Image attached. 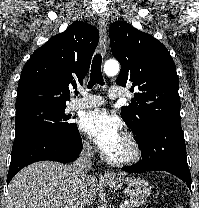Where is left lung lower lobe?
<instances>
[{
    "mask_svg": "<svg viewBox=\"0 0 199 208\" xmlns=\"http://www.w3.org/2000/svg\"><path fill=\"white\" fill-rule=\"evenodd\" d=\"M142 152L139 163L126 166V172L167 171L184 181L191 190V174L186 159L181 120L152 125L145 138L137 142Z\"/></svg>",
    "mask_w": 199,
    "mask_h": 208,
    "instance_id": "1",
    "label": "left lung lower lobe"
}]
</instances>
